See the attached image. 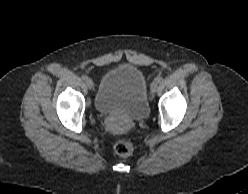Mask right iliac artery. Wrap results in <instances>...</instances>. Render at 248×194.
I'll return each mask as SVG.
<instances>
[{
	"mask_svg": "<svg viewBox=\"0 0 248 194\" xmlns=\"http://www.w3.org/2000/svg\"><path fill=\"white\" fill-rule=\"evenodd\" d=\"M86 79H87V76L83 75L82 80H86Z\"/></svg>",
	"mask_w": 248,
	"mask_h": 194,
	"instance_id": "82829eb1",
	"label": "right iliac artery"
}]
</instances>
